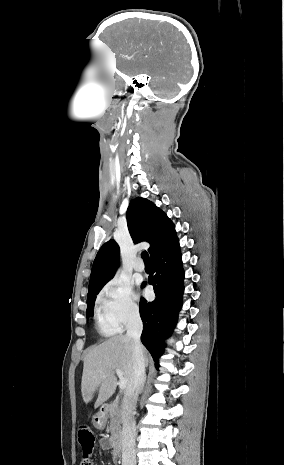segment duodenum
<instances>
[{"label": "duodenum", "instance_id": "duodenum-1", "mask_svg": "<svg viewBox=\"0 0 284 465\" xmlns=\"http://www.w3.org/2000/svg\"><path fill=\"white\" fill-rule=\"evenodd\" d=\"M108 407L105 406L103 408H101L98 412V417H99V420L101 423H103V420H104V416L106 415L107 411H108ZM112 442H113V446L116 450H121L123 448V444H124V436L121 432H116L114 435H113V439H112Z\"/></svg>", "mask_w": 284, "mask_h": 465}]
</instances>
